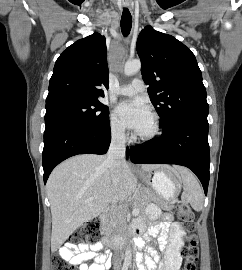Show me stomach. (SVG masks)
<instances>
[{"label": "stomach", "instance_id": "stomach-1", "mask_svg": "<svg viewBox=\"0 0 242 270\" xmlns=\"http://www.w3.org/2000/svg\"><path fill=\"white\" fill-rule=\"evenodd\" d=\"M141 180L163 200L174 199L180 191L181 179L169 166H161L140 174Z\"/></svg>", "mask_w": 242, "mask_h": 270}]
</instances>
